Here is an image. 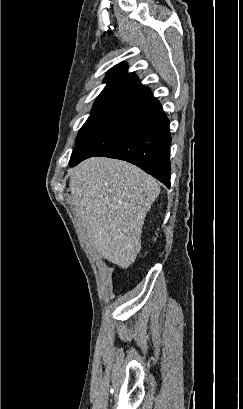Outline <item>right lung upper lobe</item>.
<instances>
[{
  "label": "right lung upper lobe",
  "mask_w": 243,
  "mask_h": 409,
  "mask_svg": "<svg viewBox=\"0 0 243 409\" xmlns=\"http://www.w3.org/2000/svg\"><path fill=\"white\" fill-rule=\"evenodd\" d=\"M104 82L107 83V86L96 101L115 100L123 102L145 88L139 83L135 74L127 73L125 63L118 64L110 69Z\"/></svg>",
  "instance_id": "right-lung-upper-lobe-1"
}]
</instances>
